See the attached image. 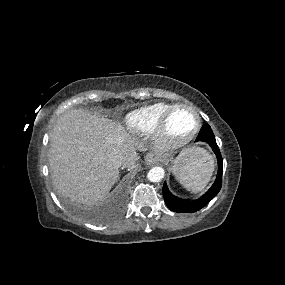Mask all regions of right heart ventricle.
Segmentation results:
<instances>
[{"label": "right heart ventricle", "mask_w": 285, "mask_h": 285, "mask_svg": "<svg viewBox=\"0 0 285 285\" xmlns=\"http://www.w3.org/2000/svg\"><path fill=\"white\" fill-rule=\"evenodd\" d=\"M172 106L173 104L165 102L142 106L127 113L123 118V124L133 134H153L164 114Z\"/></svg>", "instance_id": "right-heart-ventricle-1"}]
</instances>
